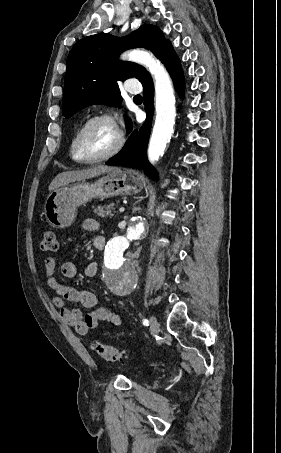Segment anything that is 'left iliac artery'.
I'll return each mask as SVG.
<instances>
[{
    "mask_svg": "<svg viewBox=\"0 0 281 453\" xmlns=\"http://www.w3.org/2000/svg\"><path fill=\"white\" fill-rule=\"evenodd\" d=\"M144 325L148 326L149 325V321L147 319L144 320L143 322Z\"/></svg>",
    "mask_w": 281,
    "mask_h": 453,
    "instance_id": "obj_1",
    "label": "left iliac artery"
}]
</instances>
